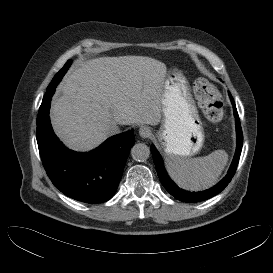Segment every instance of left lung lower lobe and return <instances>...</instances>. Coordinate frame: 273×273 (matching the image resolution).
Here are the masks:
<instances>
[{"instance_id": "obj_1", "label": "left lung lower lobe", "mask_w": 273, "mask_h": 273, "mask_svg": "<svg viewBox=\"0 0 273 273\" xmlns=\"http://www.w3.org/2000/svg\"><path fill=\"white\" fill-rule=\"evenodd\" d=\"M230 98H231V96H230ZM231 102L233 105L234 115H235V119H236L237 149H236V153H235L233 162L228 170L227 175L214 187H212L208 190H205L203 192H197V193L196 192H188V191L180 189L167 175L164 165H163L162 158H161L159 152L157 151V149L153 145L151 146V152L153 155V159H154V163L156 166V171H157L158 177H159L161 183L163 184V186L165 187V189L171 195H173L176 199L183 201V202H199V201L207 200V199L217 195L222 190H224V188L228 185V183L231 181L232 177L234 176V173L236 171V168H237V165L239 162L241 150H242L243 135H242V130H241V126H240V120L238 117L237 109H236L234 100L232 98H231Z\"/></svg>"}]
</instances>
